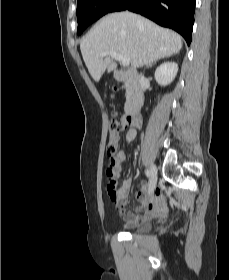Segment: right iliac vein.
Masks as SVG:
<instances>
[{
  "instance_id": "obj_1",
  "label": "right iliac vein",
  "mask_w": 229,
  "mask_h": 280,
  "mask_svg": "<svg viewBox=\"0 0 229 280\" xmlns=\"http://www.w3.org/2000/svg\"><path fill=\"white\" fill-rule=\"evenodd\" d=\"M150 172L151 175H150L149 186L151 190H154L157 184V169L154 165H151Z\"/></svg>"
}]
</instances>
